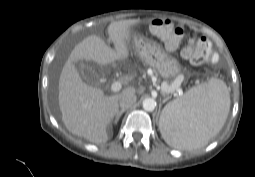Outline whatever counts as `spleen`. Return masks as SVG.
<instances>
[{
	"instance_id": "1",
	"label": "spleen",
	"mask_w": 255,
	"mask_h": 177,
	"mask_svg": "<svg viewBox=\"0 0 255 177\" xmlns=\"http://www.w3.org/2000/svg\"><path fill=\"white\" fill-rule=\"evenodd\" d=\"M229 110L226 84L212 78L168 103L162 111L159 128L169 145L180 149L198 148L221 130Z\"/></svg>"
}]
</instances>
